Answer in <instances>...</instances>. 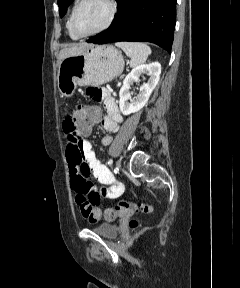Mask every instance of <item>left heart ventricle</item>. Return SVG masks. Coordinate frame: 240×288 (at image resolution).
Returning a JSON list of instances; mask_svg holds the SVG:
<instances>
[{"label":"left heart ventricle","instance_id":"1","mask_svg":"<svg viewBox=\"0 0 240 288\" xmlns=\"http://www.w3.org/2000/svg\"><path fill=\"white\" fill-rule=\"evenodd\" d=\"M109 14L105 0H87L78 9L74 26L78 33L86 34L101 27Z\"/></svg>","mask_w":240,"mask_h":288}]
</instances>
